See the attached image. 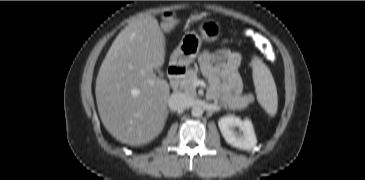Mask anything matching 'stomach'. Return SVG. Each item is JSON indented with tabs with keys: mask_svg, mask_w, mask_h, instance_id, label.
I'll use <instances>...</instances> for the list:
<instances>
[{
	"mask_svg": "<svg viewBox=\"0 0 365 180\" xmlns=\"http://www.w3.org/2000/svg\"><path fill=\"white\" fill-rule=\"evenodd\" d=\"M221 29L218 23L204 20L199 24V33L186 32L170 56L169 65L188 67L198 56L203 42L213 43L220 38Z\"/></svg>",
	"mask_w": 365,
	"mask_h": 180,
	"instance_id": "0dacf381",
	"label": "stomach"
}]
</instances>
